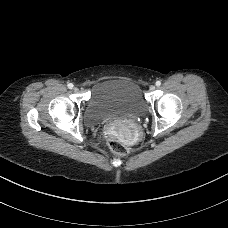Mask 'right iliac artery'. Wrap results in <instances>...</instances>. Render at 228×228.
Returning <instances> with one entry per match:
<instances>
[{
  "label": "right iliac artery",
  "mask_w": 228,
  "mask_h": 228,
  "mask_svg": "<svg viewBox=\"0 0 228 228\" xmlns=\"http://www.w3.org/2000/svg\"><path fill=\"white\" fill-rule=\"evenodd\" d=\"M67 86H68L69 89L73 88V84L72 83H69Z\"/></svg>",
  "instance_id": "right-iliac-artery-1"
}]
</instances>
